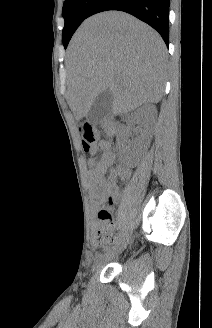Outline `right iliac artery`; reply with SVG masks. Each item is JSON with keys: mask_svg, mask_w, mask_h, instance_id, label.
<instances>
[{"mask_svg": "<svg viewBox=\"0 0 212 328\" xmlns=\"http://www.w3.org/2000/svg\"><path fill=\"white\" fill-rule=\"evenodd\" d=\"M121 237H122V233H120V234L118 235V237H117V239L115 240L114 243H115V244L118 243V242L120 241Z\"/></svg>", "mask_w": 212, "mask_h": 328, "instance_id": "1", "label": "right iliac artery"}]
</instances>
